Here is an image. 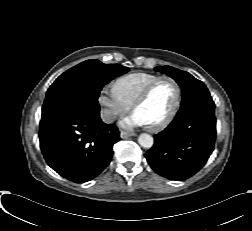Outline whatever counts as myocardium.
<instances>
[{"mask_svg":"<svg viewBox=\"0 0 252 231\" xmlns=\"http://www.w3.org/2000/svg\"><path fill=\"white\" fill-rule=\"evenodd\" d=\"M163 80H168L174 85V87H175V102H174V105H173L171 111L169 112V114L162 121L158 122L155 125L147 126V128L152 132H156V131L164 129L176 117V115L180 109L181 102H182V89H181V86L178 83V81L171 76H167V75L160 76L157 79H155L154 81H152L150 84H148L147 87L141 92V94L136 98V100L132 104V111L134 112L138 106H140L142 103H144L148 99L153 88L159 82H161Z\"/></svg>","mask_w":252,"mask_h":231,"instance_id":"f54148a6","label":"myocardium"}]
</instances>
